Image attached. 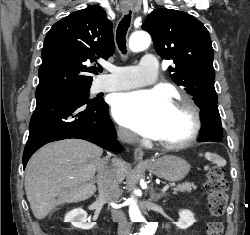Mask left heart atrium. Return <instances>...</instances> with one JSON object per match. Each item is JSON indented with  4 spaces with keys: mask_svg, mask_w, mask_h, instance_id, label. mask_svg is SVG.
<instances>
[{
    "mask_svg": "<svg viewBox=\"0 0 250 235\" xmlns=\"http://www.w3.org/2000/svg\"><path fill=\"white\" fill-rule=\"evenodd\" d=\"M172 108L162 90H140L117 95L113 115L121 125L145 136L155 137Z\"/></svg>",
    "mask_w": 250,
    "mask_h": 235,
    "instance_id": "obj_1",
    "label": "left heart atrium"
}]
</instances>
